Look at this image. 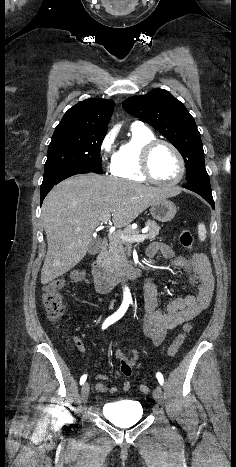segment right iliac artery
Returning <instances> with one entry per match:
<instances>
[{
  "instance_id": "obj_1",
  "label": "right iliac artery",
  "mask_w": 236,
  "mask_h": 467,
  "mask_svg": "<svg viewBox=\"0 0 236 467\" xmlns=\"http://www.w3.org/2000/svg\"><path fill=\"white\" fill-rule=\"evenodd\" d=\"M129 307V303L127 302H123L120 306V308L114 313L112 314L111 316H109L103 323L102 325V329H106L108 326H110L111 324H113L114 322H116L117 320H119L124 314L125 312L127 311ZM87 379V375L84 374L81 378H80V385L84 384V382L86 381Z\"/></svg>"
}]
</instances>
